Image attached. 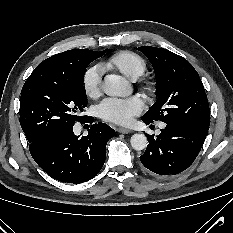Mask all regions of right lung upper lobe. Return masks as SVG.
<instances>
[{"label": "right lung upper lobe", "mask_w": 233, "mask_h": 233, "mask_svg": "<svg viewBox=\"0 0 233 233\" xmlns=\"http://www.w3.org/2000/svg\"><path fill=\"white\" fill-rule=\"evenodd\" d=\"M105 51H107V50H103V51H99V52L91 51V50H87V49L68 50V51L53 55L48 59H45L36 68L48 70V71H60V70H64L67 68L70 56L73 54H78V53L103 54Z\"/></svg>", "instance_id": "right-lung-upper-lobe-1"}]
</instances>
